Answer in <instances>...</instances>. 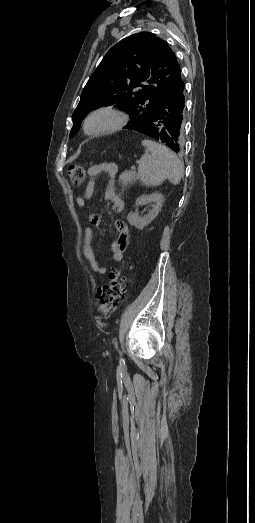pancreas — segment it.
<instances>
[{"label": "pancreas", "mask_w": 255, "mask_h": 523, "mask_svg": "<svg viewBox=\"0 0 255 523\" xmlns=\"http://www.w3.org/2000/svg\"><path fill=\"white\" fill-rule=\"evenodd\" d=\"M134 180H137L136 174L131 172H123L119 178V182H122L123 186H128V184H133Z\"/></svg>", "instance_id": "obj_1"}]
</instances>
